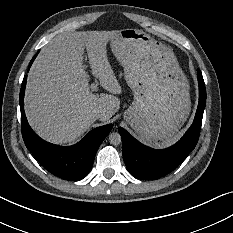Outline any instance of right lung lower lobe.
<instances>
[{"mask_svg": "<svg viewBox=\"0 0 233 233\" xmlns=\"http://www.w3.org/2000/svg\"><path fill=\"white\" fill-rule=\"evenodd\" d=\"M33 57L29 68L32 65ZM27 76L24 77L20 90L19 102L21 109L22 136L26 147L38 162L52 174L69 181L83 179L94 162L96 152L111 131L113 125L108 124L90 131L79 143L62 147L42 140L29 126L24 113V92Z\"/></svg>", "mask_w": 233, "mask_h": 233, "instance_id": "98d812e1", "label": "right lung lower lobe"}]
</instances>
